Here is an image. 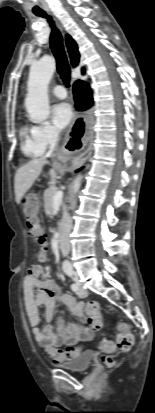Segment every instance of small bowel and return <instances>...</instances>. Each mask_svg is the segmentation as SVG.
<instances>
[{
	"label": "small bowel",
	"mask_w": 155,
	"mask_h": 413,
	"mask_svg": "<svg viewBox=\"0 0 155 413\" xmlns=\"http://www.w3.org/2000/svg\"><path fill=\"white\" fill-rule=\"evenodd\" d=\"M46 259V258H45ZM44 268L41 264L30 266L24 278V307L26 316L36 342L42 346L53 358L66 361L82 352L79 342L90 340L103 326L100 314L93 315L84 312V303L69 294H61L58 286L52 282L41 281ZM60 302L69 311L84 320L83 324H66L62 320L55 329L46 327L41 329L40 306L45 307L44 318L50 322L54 316L56 303ZM66 346V349H61Z\"/></svg>",
	"instance_id": "1"
}]
</instances>
